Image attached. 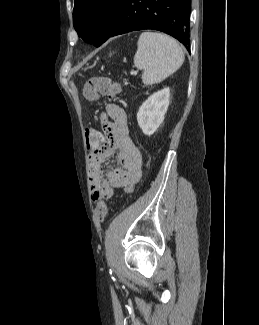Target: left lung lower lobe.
I'll list each match as a JSON object with an SVG mask.
<instances>
[{"mask_svg":"<svg viewBox=\"0 0 259 325\" xmlns=\"http://www.w3.org/2000/svg\"><path fill=\"white\" fill-rule=\"evenodd\" d=\"M190 12L191 0H123L106 40L131 31L155 29L189 49Z\"/></svg>","mask_w":259,"mask_h":325,"instance_id":"1","label":"left lung lower lobe"}]
</instances>
